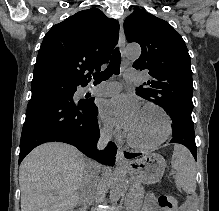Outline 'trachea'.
Instances as JSON below:
<instances>
[{"label":"trachea","instance_id":"3493384b","mask_svg":"<svg viewBox=\"0 0 219 211\" xmlns=\"http://www.w3.org/2000/svg\"><path fill=\"white\" fill-rule=\"evenodd\" d=\"M121 65V53L118 48L114 50L113 56L109 65L104 71H97L93 74L94 84H99L101 81L108 80L112 75H118L120 73Z\"/></svg>","mask_w":219,"mask_h":211}]
</instances>
